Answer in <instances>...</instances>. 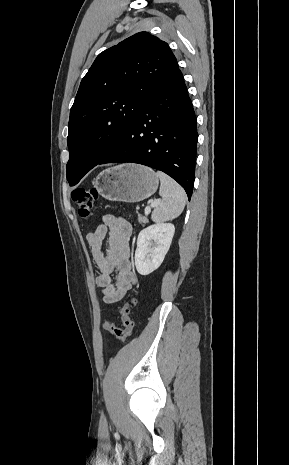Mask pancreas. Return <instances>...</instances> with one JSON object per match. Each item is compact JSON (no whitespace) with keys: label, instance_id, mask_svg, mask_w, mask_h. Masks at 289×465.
I'll list each match as a JSON object with an SVG mask.
<instances>
[{"label":"pancreas","instance_id":"cf45deb5","mask_svg":"<svg viewBox=\"0 0 289 465\" xmlns=\"http://www.w3.org/2000/svg\"><path fill=\"white\" fill-rule=\"evenodd\" d=\"M138 218H139L140 223H146L147 222V218L144 217V216H141L140 214L138 215Z\"/></svg>","mask_w":289,"mask_h":465}]
</instances>
